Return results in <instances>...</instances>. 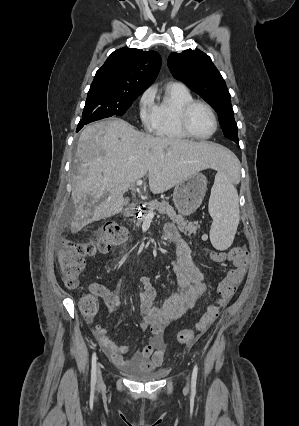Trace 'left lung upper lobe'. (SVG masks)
Returning <instances> with one entry per match:
<instances>
[{
	"label": "left lung upper lobe",
	"instance_id": "left-lung-upper-lobe-1",
	"mask_svg": "<svg viewBox=\"0 0 299 426\" xmlns=\"http://www.w3.org/2000/svg\"><path fill=\"white\" fill-rule=\"evenodd\" d=\"M168 67L176 79L213 106L225 137L238 143L231 96L211 58L198 49H188L180 54L173 52L168 58Z\"/></svg>",
	"mask_w": 299,
	"mask_h": 426
}]
</instances>
